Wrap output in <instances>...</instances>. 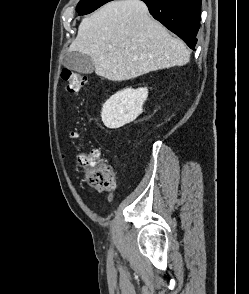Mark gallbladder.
Instances as JSON below:
<instances>
[{"label": "gallbladder", "mask_w": 249, "mask_h": 294, "mask_svg": "<svg viewBox=\"0 0 249 294\" xmlns=\"http://www.w3.org/2000/svg\"><path fill=\"white\" fill-rule=\"evenodd\" d=\"M63 66L69 70L90 74L94 71V63L90 56L80 52H69L63 59Z\"/></svg>", "instance_id": "bac80fb5"}]
</instances>
